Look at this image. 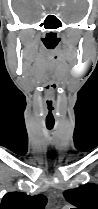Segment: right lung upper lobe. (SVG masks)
Instances as JSON below:
<instances>
[{"label": "right lung upper lobe", "instance_id": "cb5924a9", "mask_svg": "<svg viewBox=\"0 0 98 209\" xmlns=\"http://www.w3.org/2000/svg\"><path fill=\"white\" fill-rule=\"evenodd\" d=\"M47 198L44 195L30 196L22 192L7 193L1 201L0 209H44Z\"/></svg>", "mask_w": 98, "mask_h": 209}]
</instances>
